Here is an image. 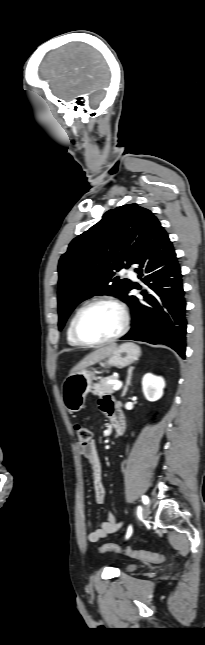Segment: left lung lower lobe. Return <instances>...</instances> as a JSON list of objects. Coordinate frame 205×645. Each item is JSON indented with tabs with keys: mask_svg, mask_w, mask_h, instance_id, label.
<instances>
[{
	"mask_svg": "<svg viewBox=\"0 0 205 645\" xmlns=\"http://www.w3.org/2000/svg\"><path fill=\"white\" fill-rule=\"evenodd\" d=\"M132 264L138 265V277L149 290L142 291L144 305L129 295L135 286L130 284L124 299L131 308L132 328L121 339L164 344L184 358L187 321L181 269L172 242L157 219L140 240Z\"/></svg>",
	"mask_w": 205,
	"mask_h": 645,
	"instance_id": "1",
	"label": "left lung lower lobe"
}]
</instances>
